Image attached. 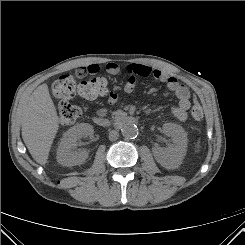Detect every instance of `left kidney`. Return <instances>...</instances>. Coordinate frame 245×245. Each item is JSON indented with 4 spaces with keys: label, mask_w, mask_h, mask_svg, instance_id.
Masks as SVG:
<instances>
[{
    "label": "left kidney",
    "mask_w": 245,
    "mask_h": 245,
    "mask_svg": "<svg viewBox=\"0 0 245 245\" xmlns=\"http://www.w3.org/2000/svg\"><path fill=\"white\" fill-rule=\"evenodd\" d=\"M163 131L172 138L173 144L165 149H156L154 156L163 167H177L186 154L187 134L180 125L174 123L164 124Z\"/></svg>",
    "instance_id": "1"
}]
</instances>
